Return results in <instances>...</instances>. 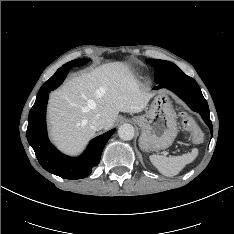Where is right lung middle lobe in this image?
Wrapping results in <instances>:
<instances>
[{
  "label": "right lung middle lobe",
  "mask_w": 234,
  "mask_h": 234,
  "mask_svg": "<svg viewBox=\"0 0 234 234\" xmlns=\"http://www.w3.org/2000/svg\"><path fill=\"white\" fill-rule=\"evenodd\" d=\"M89 60L88 59H79V60H73V61H70L68 63H66L65 65H63L62 67H75V66H81L85 63H87Z\"/></svg>",
  "instance_id": "dd1d6c3e"
}]
</instances>
